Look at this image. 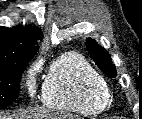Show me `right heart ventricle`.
<instances>
[{
  "mask_svg": "<svg viewBox=\"0 0 142 119\" xmlns=\"http://www.w3.org/2000/svg\"><path fill=\"white\" fill-rule=\"evenodd\" d=\"M41 97L49 107L95 115L106 108L110 94L104 77L82 55L68 52L50 65Z\"/></svg>",
  "mask_w": 142,
  "mask_h": 119,
  "instance_id": "1",
  "label": "right heart ventricle"
}]
</instances>
